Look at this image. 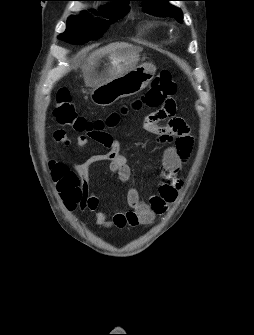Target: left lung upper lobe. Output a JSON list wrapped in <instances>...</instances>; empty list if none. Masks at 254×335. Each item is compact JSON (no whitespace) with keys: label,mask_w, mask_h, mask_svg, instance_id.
Masks as SVG:
<instances>
[{"label":"left lung upper lobe","mask_w":254,"mask_h":335,"mask_svg":"<svg viewBox=\"0 0 254 335\" xmlns=\"http://www.w3.org/2000/svg\"><path fill=\"white\" fill-rule=\"evenodd\" d=\"M138 1H142L143 10L146 13L161 17H174L178 22H182L183 16L181 10L168 3V1L172 0H138Z\"/></svg>","instance_id":"5c2ea615"}]
</instances>
